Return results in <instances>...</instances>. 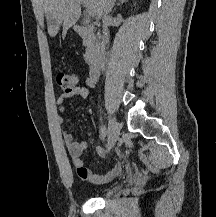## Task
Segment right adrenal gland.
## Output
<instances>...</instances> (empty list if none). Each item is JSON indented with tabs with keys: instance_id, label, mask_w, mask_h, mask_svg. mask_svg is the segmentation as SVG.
Wrapping results in <instances>:
<instances>
[{
	"instance_id": "obj_1",
	"label": "right adrenal gland",
	"mask_w": 216,
	"mask_h": 217,
	"mask_svg": "<svg viewBox=\"0 0 216 217\" xmlns=\"http://www.w3.org/2000/svg\"><path fill=\"white\" fill-rule=\"evenodd\" d=\"M127 0H121L120 3L117 4V6H120L121 4H123L124 2H126Z\"/></svg>"
}]
</instances>
